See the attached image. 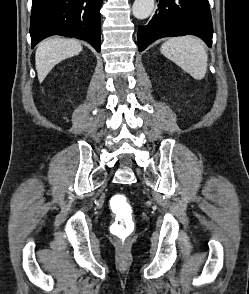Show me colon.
<instances>
[{
  "label": "colon",
  "mask_w": 249,
  "mask_h": 294,
  "mask_svg": "<svg viewBox=\"0 0 249 294\" xmlns=\"http://www.w3.org/2000/svg\"><path fill=\"white\" fill-rule=\"evenodd\" d=\"M128 200L124 195H115L112 198V206L114 207L117 217L112 223V232L114 236L121 242H127L134 231V222L128 215Z\"/></svg>",
  "instance_id": "obj_1"
}]
</instances>
